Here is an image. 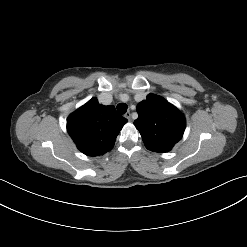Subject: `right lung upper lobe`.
Wrapping results in <instances>:
<instances>
[{
  "label": "right lung upper lobe",
  "instance_id": "obj_1",
  "mask_svg": "<svg viewBox=\"0 0 247 247\" xmlns=\"http://www.w3.org/2000/svg\"><path fill=\"white\" fill-rule=\"evenodd\" d=\"M126 122L114 106H104L92 98L68 117L67 130L77 148L93 157L113 148Z\"/></svg>",
  "mask_w": 247,
  "mask_h": 247
}]
</instances>
